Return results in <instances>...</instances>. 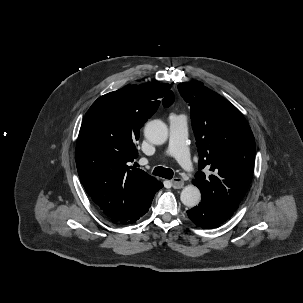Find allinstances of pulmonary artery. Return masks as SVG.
<instances>
[{
    "label": "pulmonary artery",
    "mask_w": 303,
    "mask_h": 303,
    "mask_svg": "<svg viewBox=\"0 0 303 303\" xmlns=\"http://www.w3.org/2000/svg\"><path fill=\"white\" fill-rule=\"evenodd\" d=\"M169 143L166 153L174 157L185 169H192V161L186 144L188 125L184 115L172 114L169 116Z\"/></svg>",
    "instance_id": "pulmonary-artery-1"
}]
</instances>
